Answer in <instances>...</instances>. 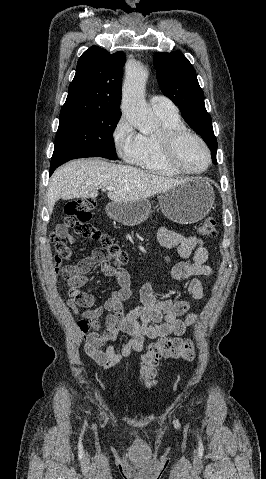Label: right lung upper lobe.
Segmentation results:
<instances>
[{
  "label": "right lung upper lobe",
  "mask_w": 266,
  "mask_h": 479,
  "mask_svg": "<svg viewBox=\"0 0 266 479\" xmlns=\"http://www.w3.org/2000/svg\"><path fill=\"white\" fill-rule=\"evenodd\" d=\"M125 54H110L92 46L77 62L76 74L69 85L61 108L64 114H117L120 112L122 70Z\"/></svg>",
  "instance_id": "cb5924a9"
}]
</instances>
